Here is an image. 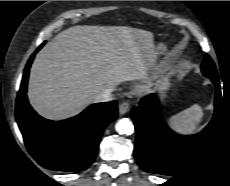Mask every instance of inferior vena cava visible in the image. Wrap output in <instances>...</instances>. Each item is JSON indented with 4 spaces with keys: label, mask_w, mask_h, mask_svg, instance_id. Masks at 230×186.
<instances>
[{
    "label": "inferior vena cava",
    "mask_w": 230,
    "mask_h": 186,
    "mask_svg": "<svg viewBox=\"0 0 230 186\" xmlns=\"http://www.w3.org/2000/svg\"><path fill=\"white\" fill-rule=\"evenodd\" d=\"M112 100V94L111 91L105 90L98 95L95 96L94 101L95 102H108Z\"/></svg>",
    "instance_id": "inferior-vena-cava-1"
}]
</instances>
